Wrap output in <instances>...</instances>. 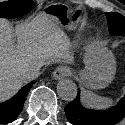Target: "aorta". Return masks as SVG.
Returning <instances> with one entry per match:
<instances>
[{"label":"aorta","mask_w":125,"mask_h":125,"mask_svg":"<svg viewBox=\"0 0 125 125\" xmlns=\"http://www.w3.org/2000/svg\"><path fill=\"white\" fill-rule=\"evenodd\" d=\"M57 93L61 97V99L65 101H72L76 98L77 86L70 79L61 80L57 84Z\"/></svg>","instance_id":"aorta-1"}]
</instances>
